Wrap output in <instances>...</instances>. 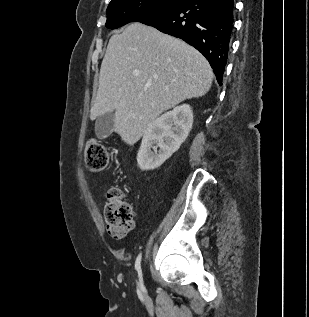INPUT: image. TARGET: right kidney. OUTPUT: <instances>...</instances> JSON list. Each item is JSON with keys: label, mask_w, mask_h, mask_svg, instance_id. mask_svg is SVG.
Segmentation results:
<instances>
[{"label": "right kidney", "mask_w": 309, "mask_h": 317, "mask_svg": "<svg viewBox=\"0 0 309 317\" xmlns=\"http://www.w3.org/2000/svg\"><path fill=\"white\" fill-rule=\"evenodd\" d=\"M192 125L193 111L187 104L177 106L154 120L146 129L137 154L139 168L149 171L160 167L180 148Z\"/></svg>", "instance_id": "right-kidney-1"}]
</instances>
